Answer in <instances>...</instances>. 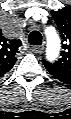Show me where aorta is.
I'll return each instance as SVG.
<instances>
[{
	"label": "aorta",
	"instance_id": "aorta-1",
	"mask_svg": "<svg viewBox=\"0 0 71 119\" xmlns=\"http://www.w3.org/2000/svg\"><path fill=\"white\" fill-rule=\"evenodd\" d=\"M60 50V38L55 33L52 32L47 35V59L49 61H54L57 59Z\"/></svg>",
	"mask_w": 71,
	"mask_h": 119
}]
</instances>
